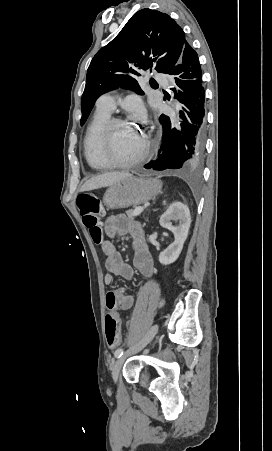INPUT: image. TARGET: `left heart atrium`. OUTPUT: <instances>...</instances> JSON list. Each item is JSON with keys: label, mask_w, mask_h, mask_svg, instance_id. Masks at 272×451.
Returning a JSON list of instances; mask_svg holds the SVG:
<instances>
[{"label": "left heart atrium", "mask_w": 272, "mask_h": 451, "mask_svg": "<svg viewBox=\"0 0 272 451\" xmlns=\"http://www.w3.org/2000/svg\"><path fill=\"white\" fill-rule=\"evenodd\" d=\"M137 114H138V116H141L142 117V115H143V109L141 108V107H135L134 109H133Z\"/></svg>", "instance_id": "left-heart-atrium-1"}]
</instances>
